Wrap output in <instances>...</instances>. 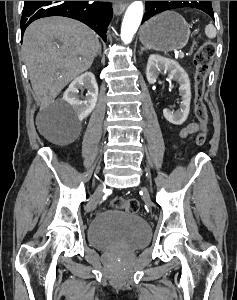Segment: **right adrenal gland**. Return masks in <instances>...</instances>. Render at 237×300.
<instances>
[{"label": "right adrenal gland", "mask_w": 237, "mask_h": 300, "mask_svg": "<svg viewBox=\"0 0 237 300\" xmlns=\"http://www.w3.org/2000/svg\"><path fill=\"white\" fill-rule=\"evenodd\" d=\"M98 55L101 57V47H99Z\"/></svg>", "instance_id": "obj_1"}]
</instances>
